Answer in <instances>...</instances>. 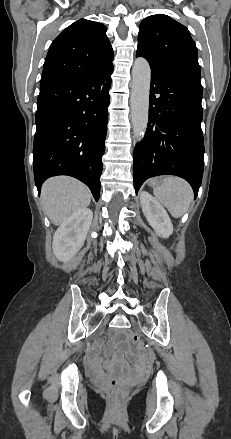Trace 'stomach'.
<instances>
[{
    "label": "stomach",
    "instance_id": "stomach-1",
    "mask_svg": "<svg viewBox=\"0 0 231 439\" xmlns=\"http://www.w3.org/2000/svg\"><path fill=\"white\" fill-rule=\"evenodd\" d=\"M158 182H159V180H157V179H153L150 183H151L152 185H156Z\"/></svg>",
    "mask_w": 231,
    "mask_h": 439
}]
</instances>
